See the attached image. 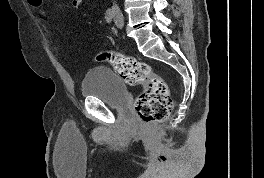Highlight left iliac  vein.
Listing matches in <instances>:
<instances>
[{"label": "left iliac vein", "mask_w": 264, "mask_h": 178, "mask_svg": "<svg viewBox=\"0 0 264 178\" xmlns=\"http://www.w3.org/2000/svg\"><path fill=\"white\" fill-rule=\"evenodd\" d=\"M115 24L117 25L118 28H122L124 26V20L121 15L115 17Z\"/></svg>", "instance_id": "4c4485c4"}]
</instances>
